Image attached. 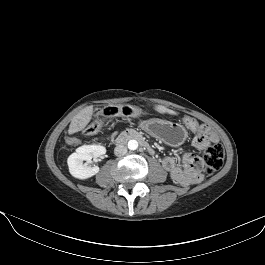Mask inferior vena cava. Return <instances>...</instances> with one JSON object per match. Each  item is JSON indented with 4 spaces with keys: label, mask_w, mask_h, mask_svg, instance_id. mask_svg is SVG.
<instances>
[{
    "label": "inferior vena cava",
    "mask_w": 265,
    "mask_h": 265,
    "mask_svg": "<svg viewBox=\"0 0 265 265\" xmlns=\"http://www.w3.org/2000/svg\"><path fill=\"white\" fill-rule=\"evenodd\" d=\"M127 153V146L119 144L114 149V154L116 156H124Z\"/></svg>",
    "instance_id": "602c4592"
}]
</instances>
